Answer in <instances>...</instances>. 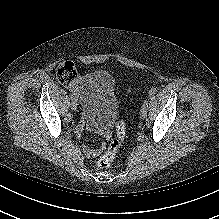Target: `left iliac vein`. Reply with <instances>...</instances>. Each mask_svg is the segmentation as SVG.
Returning a JSON list of instances; mask_svg holds the SVG:
<instances>
[{
	"label": "left iliac vein",
	"mask_w": 219,
	"mask_h": 219,
	"mask_svg": "<svg viewBox=\"0 0 219 219\" xmlns=\"http://www.w3.org/2000/svg\"><path fill=\"white\" fill-rule=\"evenodd\" d=\"M147 117V108L142 107L140 110V118L145 119Z\"/></svg>",
	"instance_id": "obj_1"
}]
</instances>
